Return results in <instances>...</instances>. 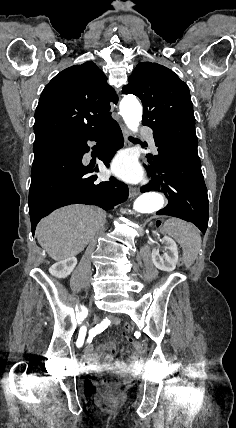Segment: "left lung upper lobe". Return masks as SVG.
<instances>
[{"mask_svg": "<svg viewBox=\"0 0 236 428\" xmlns=\"http://www.w3.org/2000/svg\"><path fill=\"white\" fill-rule=\"evenodd\" d=\"M122 93L141 99L142 124L152 128L153 134L198 154L190 92L173 71L157 63H139Z\"/></svg>", "mask_w": 236, "mask_h": 428, "instance_id": "left-lung-upper-lobe-1", "label": "left lung upper lobe"}]
</instances>
